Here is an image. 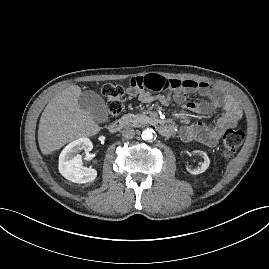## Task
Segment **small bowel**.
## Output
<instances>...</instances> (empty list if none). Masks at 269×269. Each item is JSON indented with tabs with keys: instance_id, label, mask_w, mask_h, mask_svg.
I'll use <instances>...</instances> for the list:
<instances>
[{
	"instance_id": "1",
	"label": "small bowel",
	"mask_w": 269,
	"mask_h": 269,
	"mask_svg": "<svg viewBox=\"0 0 269 269\" xmlns=\"http://www.w3.org/2000/svg\"><path fill=\"white\" fill-rule=\"evenodd\" d=\"M155 96L166 104H171L174 99L182 107L196 114L207 115L218 108L223 109V114L213 126L202 122L187 124L180 129V138L184 142L196 141L207 146H215L223 132L237 125L242 117V111L235 99L226 95L219 89L207 83L193 80H174L159 75L134 77L130 81L128 93L137 96L142 102L152 100ZM189 93H198L205 100L201 102L187 101Z\"/></svg>"
}]
</instances>
